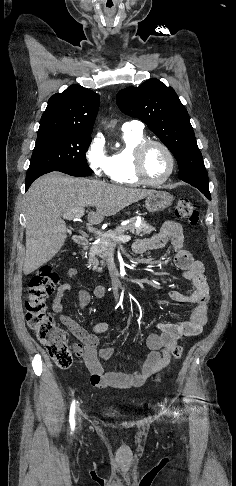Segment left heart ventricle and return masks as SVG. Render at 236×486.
Listing matches in <instances>:
<instances>
[{
	"instance_id": "b2bd125f",
	"label": "left heart ventricle",
	"mask_w": 236,
	"mask_h": 486,
	"mask_svg": "<svg viewBox=\"0 0 236 486\" xmlns=\"http://www.w3.org/2000/svg\"><path fill=\"white\" fill-rule=\"evenodd\" d=\"M169 169V160L166 153L156 145L150 146L144 155V170L151 180L162 179Z\"/></svg>"
}]
</instances>
